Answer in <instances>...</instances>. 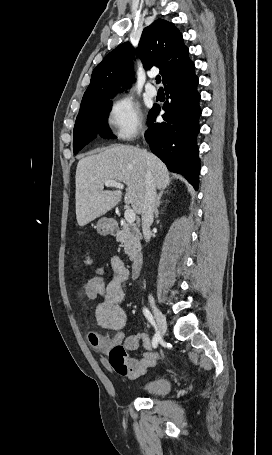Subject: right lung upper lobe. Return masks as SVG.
I'll return each mask as SVG.
<instances>
[{
    "label": "right lung upper lobe",
    "mask_w": 272,
    "mask_h": 455,
    "mask_svg": "<svg viewBox=\"0 0 272 455\" xmlns=\"http://www.w3.org/2000/svg\"><path fill=\"white\" fill-rule=\"evenodd\" d=\"M132 49L129 43L121 44L97 65L79 112L110 101L124 81H127L128 86L131 85ZM137 53L145 69L159 67L165 86L186 76L195 68L188 57L189 50L183 43L182 34L172 23L163 19L155 20L143 30Z\"/></svg>",
    "instance_id": "right-lung-upper-lobe-1"
}]
</instances>
